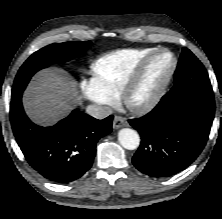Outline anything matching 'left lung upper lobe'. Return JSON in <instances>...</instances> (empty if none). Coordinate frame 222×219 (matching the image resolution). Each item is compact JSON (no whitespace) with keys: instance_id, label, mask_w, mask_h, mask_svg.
Wrapping results in <instances>:
<instances>
[{"instance_id":"obj_1","label":"left lung upper lobe","mask_w":222,"mask_h":219,"mask_svg":"<svg viewBox=\"0 0 222 219\" xmlns=\"http://www.w3.org/2000/svg\"><path fill=\"white\" fill-rule=\"evenodd\" d=\"M191 87L213 93L207 71L203 64L187 48H183L174 74V87Z\"/></svg>"}]
</instances>
